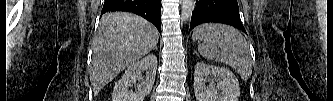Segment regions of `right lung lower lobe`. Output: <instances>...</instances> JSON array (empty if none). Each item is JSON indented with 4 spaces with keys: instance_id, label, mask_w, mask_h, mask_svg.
I'll use <instances>...</instances> for the list:
<instances>
[{
    "instance_id": "98d812e1",
    "label": "right lung lower lobe",
    "mask_w": 333,
    "mask_h": 101,
    "mask_svg": "<svg viewBox=\"0 0 333 101\" xmlns=\"http://www.w3.org/2000/svg\"><path fill=\"white\" fill-rule=\"evenodd\" d=\"M126 11L152 22L161 33V0H105L101 14Z\"/></svg>"
}]
</instances>
